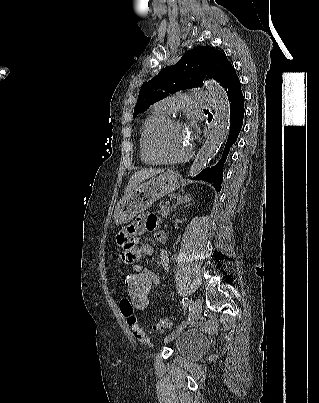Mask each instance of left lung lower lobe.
<instances>
[{"mask_svg": "<svg viewBox=\"0 0 319 403\" xmlns=\"http://www.w3.org/2000/svg\"><path fill=\"white\" fill-rule=\"evenodd\" d=\"M220 85L225 89L230 102L229 136L218 164L214 167L203 170L195 177L196 180H203L211 183L217 191L221 190L224 162L226 161L230 147L237 140L244 117V98L241 91V84L232 65L225 70Z\"/></svg>", "mask_w": 319, "mask_h": 403, "instance_id": "left-lung-lower-lobe-1", "label": "left lung lower lobe"}]
</instances>
